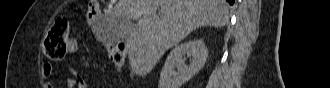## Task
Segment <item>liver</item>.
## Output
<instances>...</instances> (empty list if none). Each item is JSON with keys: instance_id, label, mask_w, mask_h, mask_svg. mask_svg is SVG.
Listing matches in <instances>:
<instances>
[{"instance_id": "1", "label": "liver", "mask_w": 330, "mask_h": 88, "mask_svg": "<svg viewBox=\"0 0 330 88\" xmlns=\"http://www.w3.org/2000/svg\"><path fill=\"white\" fill-rule=\"evenodd\" d=\"M228 12L225 0H119L109 16L116 22L136 21L125 44L132 72L144 76L193 30L225 26Z\"/></svg>"}]
</instances>
